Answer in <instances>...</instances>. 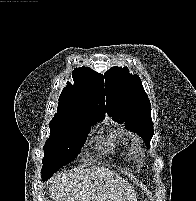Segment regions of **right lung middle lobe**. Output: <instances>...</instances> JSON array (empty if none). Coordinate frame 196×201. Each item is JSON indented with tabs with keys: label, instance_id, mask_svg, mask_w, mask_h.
Listing matches in <instances>:
<instances>
[{
	"label": "right lung middle lobe",
	"instance_id": "obj_1",
	"mask_svg": "<svg viewBox=\"0 0 196 201\" xmlns=\"http://www.w3.org/2000/svg\"><path fill=\"white\" fill-rule=\"evenodd\" d=\"M103 118L81 113H68L53 118L50 122L51 134L44 145L41 170L43 181L77 157L90 132V126Z\"/></svg>",
	"mask_w": 196,
	"mask_h": 201
}]
</instances>
